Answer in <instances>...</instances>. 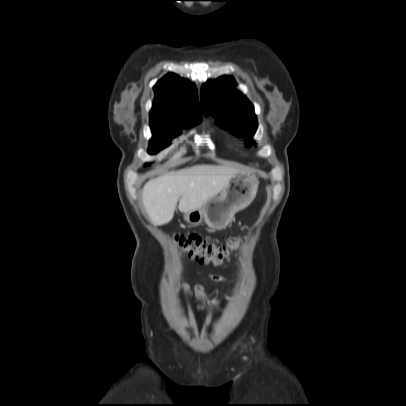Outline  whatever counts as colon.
<instances>
[{
    "instance_id": "obj_1",
    "label": "colon",
    "mask_w": 406,
    "mask_h": 406,
    "mask_svg": "<svg viewBox=\"0 0 406 406\" xmlns=\"http://www.w3.org/2000/svg\"><path fill=\"white\" fill-rule=\"evenodd\" d=\"M173 240L182 253L191 260L201 264L222 265L230 253L238 248L241 240L230 238L224 244H214L197 234H176Z\"/></svg>"
}]
</instances>
